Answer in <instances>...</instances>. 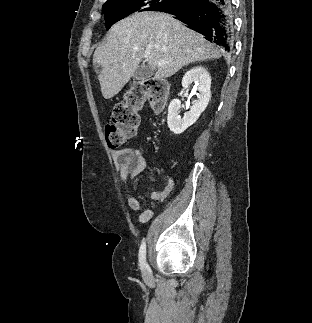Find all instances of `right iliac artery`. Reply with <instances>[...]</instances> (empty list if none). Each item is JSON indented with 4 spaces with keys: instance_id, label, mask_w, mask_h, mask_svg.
<instances>
[{
    "instance_id": "obj_1",
    "label": "right iliac artery",
    "mask_w": 312,
    "mask_h": 323,
    "mask_svg": "<svg viewBox=\"0 0 312 323\" xmlns=\"http://www.w3.org/2000/svg\"><path fill=\"white\" fill-rule=\"evenodd\" d=\"M139 265L141 268L147 266L146 264V243L145 241L142 242L140 249H139Z\"/></svg>"
}]
</instances>
